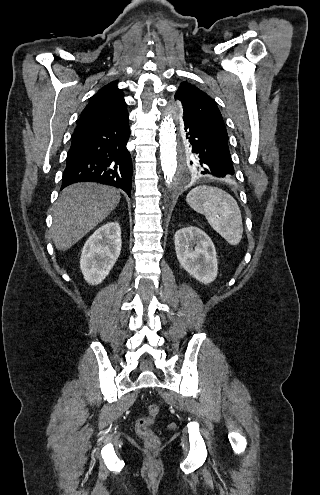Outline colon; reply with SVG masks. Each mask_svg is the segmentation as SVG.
Returning a JSON list of instances; mask_svg holds the SVG:
<instances>
[{"label":"colon","instance_id":"5ec220e1","mask_svg":"<svg viewBox=\"0 0 320 495\" xmlns=\"http://www.w3.org/2000/svg\"><path fill=\"white\" fill-rule=\"evenodd\" d=\"M159 412L158 405L150 404L147 408V415L139 419L136 424L137 434L144 440L146 446L151 449L157 448L160 444L159 437L151 429Z\"/></svg>","mask_w":320,"mask_h":495}]
</instances>
